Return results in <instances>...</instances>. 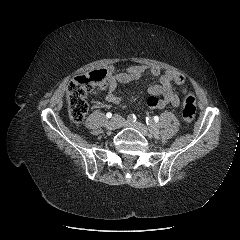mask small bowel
<instances>
[{
	"instance_id": "small-bowel-1",
	"label": "small bowel",
	"mask_w": 240,
	"mask_h": 240,
	"mask_svg": "<svg viewBox=\"0 0 240 240\" xmlns=\"http://www.w3.org/2000/svg\"><path fill=\"white\" fill-rule=\"evenodd\" d=\"M107 89L106 100L113 104L120 102V97L115 94L120 83H127L140 79L145 75L159 77V84L152 85L147 89V105L151 109H163L167 105L178 107L180 100L173 90V84L180 85L184 77L173 71L166 70L162 72L156 66L134 65L126 69H116L114 66H108L106 69ZM161 96L162 98H158Z\"/></svg>"
}]
</instances>
